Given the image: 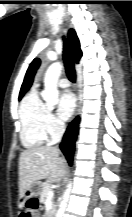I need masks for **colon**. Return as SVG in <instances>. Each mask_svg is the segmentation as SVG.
Returning <instances> with one entry per match:
<instances>
[{"label": "colon", "mask_w": 132, "mask_h": 217, "mask_svg": "<svg viewBox=\"0 0 132 217\" xmlns=\"http://www.w3.org/2000/svg\"><path fill=\"white\" fill-rule=\"evenodd\" d=\"M38 209V202L36 199H30L26 202L24 210L20 217H35Z\"/></svg>", "instance_id": "1"}]
</instances>
